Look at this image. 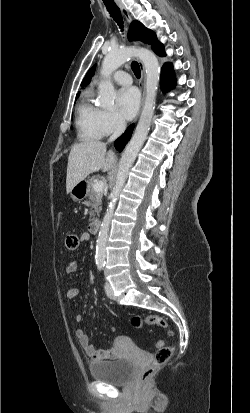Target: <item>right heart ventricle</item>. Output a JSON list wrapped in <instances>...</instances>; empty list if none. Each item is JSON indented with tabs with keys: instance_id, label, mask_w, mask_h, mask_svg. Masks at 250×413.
Returning a JSON list of instances; mask_svg holds the SVG:
<instances>
[{
	"instance_id": "e07e8e85",
	"label": "right heart ventricle",
	"mask_w": 250,
	"mask_h": 413,
	"mask_svg": "<svg viewBox=\"0 0 250 413\" xmlns=\"http://www.w3.org/2000/svg\"><path fill=\"white\" fill-rule=\"evenodd\" d=\"M101 111L92 101V90H85L76 117L77 135L80 140H96L103 136L100 125Z\"/></svg>"
}]
</instances>
